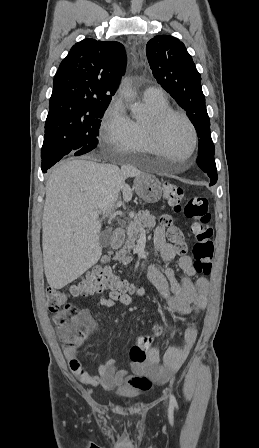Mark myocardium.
<instances>
[{
  "instance_id": "obj_1",
  "label": "myocardium",
  "mask_w": 259,
  "mask_h": 448,
  "mask_svg": "<svg viewBox=\"0 0 259 448\" xmlns=\"http://www.w3.org/2000/svg\"><path fill=\"white\" fill-rule=\"evenodd\" d=\"M174 118H179L183 120L186 125L188 126L191 136H192V143L190 148V160L195 161L197 157V144H198V133L196 130L195 125L191 121V119L188 117V115L180 110L170 109L158 114L150 115L148 118V128H149V139L152 147L154 149H165L163 142H162V132L164 129V126L169 122L170 120ZM145 154H149L148 151H145ZM153 171H163L154 169Z\"/></svg>"
}]
</instances>
